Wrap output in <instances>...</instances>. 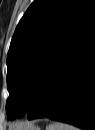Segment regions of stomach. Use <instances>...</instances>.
<instances>
[{"label":"stomach","instance_id":"stomach-1","mask_svg":"<svg viewBox=\"0 0 95 130\" xmlns=\"http://www.w3.org/2000/svg\"><path fill=\"white\" fill-rule=\"evenodd\" d=\"M27 126H30V128H27L25 130H40V128L38 126H35V125H27Z\"/></svg>","mask_w":95,"mask_h":130}]
</instances>
